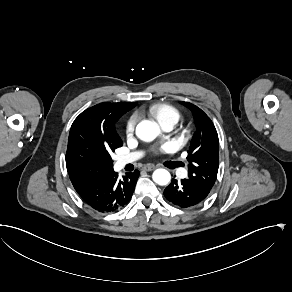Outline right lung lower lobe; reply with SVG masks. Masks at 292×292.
<instances>
[{
  "mask_svg": "<svg viewBox=\"0 0 292 292\" xmlns=\"http://www.w3.org/2000/svg\"><path fill=\"white\" fill-rule=\"evenodd\" d=\"M139 171L119 178L114 170L102 173L69 172L70 180L82 198L98 212H115L130 201L135 189Z\"/></svg>",
  "mask_w": 292,
  "mask_h": 292,
  "instance_id": "98d812e1",
  "label": "right lung lower lobe"
}]
</instances>
